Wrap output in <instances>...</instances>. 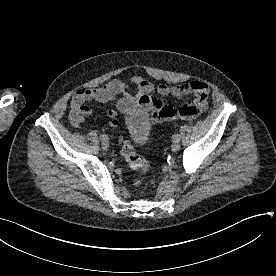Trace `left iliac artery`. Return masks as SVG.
<instances>
[{
	"mask_svg": "<svg viewBox=\"0 0 276 276\" xmlns=\"http://www.w3.org/2000/svg\"><path fill=\"white\" fill-rule=\"evenodd\" d=\"M173 140H177V141H180V134H175L174 136H173Z\"/></svg>",
	"mask_w": 276,
	"mask_h": 276,
	"instance_id": "44dca946",
	"label": "left iliac artery"
}]
</instances>
